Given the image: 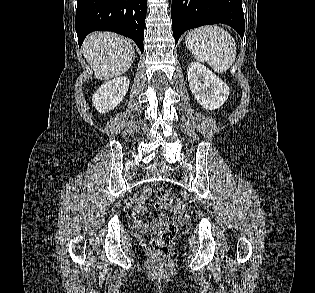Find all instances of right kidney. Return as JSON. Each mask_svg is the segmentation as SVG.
<instances>
[{
    "label": "right kidney",
    "instance_id": "obj_1",
    "mask_svg": "<svg viewBox=\"0 0 315 293\" xmlns=\"http://www.w3.org/2000/svg\"><path fill=\"white\" fill-rule=\"evenodd\" d=\"M129 88V79L125 76L112 79L99 87L92 102L100 113L113 110L124 98Z\"/></svg>",
    "mask_w": 315,
    "mask_h": 293
}]
</instances>
